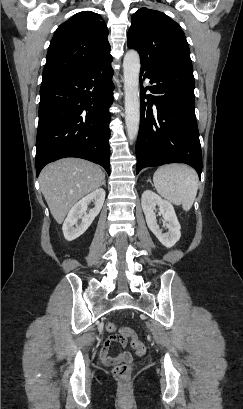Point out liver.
I'll list each match as a JSON object with an SVG mask.
<instances>
[{
  "label": "liver",
  "instance_id": "obj_1",
  "mask_svg": "<svg viewBox=\"0 0 243 409\" xmlns=\"http://www.w3.org/2000/svg\"><path fill=\"white\" fill-rule=\"evenodd\" d=\"M102 169L77 158L60 159L44 167L39 176L41 191L58 224L82 197L102 184Z\"/></svg>",
  "mask_w": 243,
  "mask_h": 409
}]
</instances>
